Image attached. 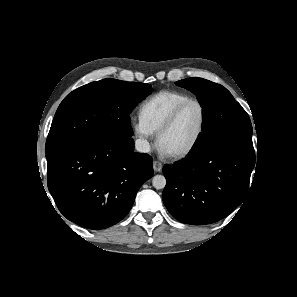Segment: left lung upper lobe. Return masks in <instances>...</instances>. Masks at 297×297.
Segmentation results:
<instances>
[{"mask_svg": "<svg viewBox=\"0 0 297 297\" xmlns=\"http://www.w3.org/2000/svg\"><path fill=\"white\" fill-rule=\"evenodd\" d=\"M176 84L196 95L204 114L203 131L190 154L214 147L254 153L249 116L226 88L203 78H187Z\"/></svg>", "mask_w": 297, "mask_h": 297, "instance_id": "5c2ea615", "label": "left lung upper lobe"}]
</instances>
